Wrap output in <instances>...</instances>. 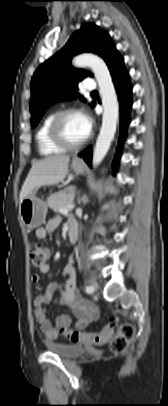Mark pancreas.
<instances>
[{
  "instance_id": "obj_1",
  "label": "pancreas",
  "mask_w": 168,
  "mask_h": 406,
  "mask_svg": "<svg viewBox=\"0 0 168 406\" xmlns=\"http://www.w3.org/2000/svg\"><path fill=\"white\" fill-rule=\"evenodd\" d=\"M74 196L73 189L68 188L50 195L47 200V205L57 212L61 208H66L68 205L73 204Z\"/></svg>"
}]
</instances>
